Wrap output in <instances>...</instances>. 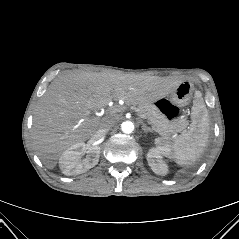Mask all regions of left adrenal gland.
I'll return each mask as SVG.
<instances>
[{
    "label": "left adrenal gland",
    "mask_w": 239,
    "mask_h": 239,
    "mask_svg": "<svg viewBox=\"0 0 239 239\" xmlns=\"http://www.w3.org/2000/svg\"><path fill=\"white\" fill-rule=\"evenodd\" d=\"M142 130L145 132V133H148V132H153V129L148 127L146 124H142Z\"/></svg>",
    "instance_id": "1"
}]
</instances>
